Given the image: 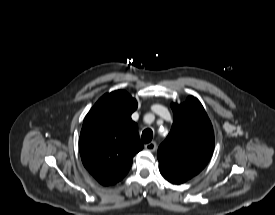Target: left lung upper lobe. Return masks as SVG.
I'll return each mask as SVG.
<instances>
[{"label":"left lung upper lobe","mask_w":275,"mask_h":215,"mask_svg":"<svg viewBox=\"0 0 275 215\" xmlns=\"http://www.w3.org/2000/svg\"><path fill=\"white\" fill-rule=\"evenodd\" d=\"M174 122L159 146V170L173 184L197 175L210 160L214 149L212 124L200 101L190 96L185 103L171 104Z\"/></svg>","instance_id":"obj_1"}]
</instances>
